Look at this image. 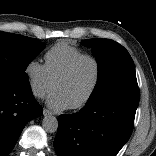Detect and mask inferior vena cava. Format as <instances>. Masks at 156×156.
<instances>
[{
    "mask_svg": "<svg viewBox=\"0 0 156 156\" xmlns=\"http://www.w3.org/2000/svg\"><path fill=\"white\" fill-rule=\"evenodd\" d=\"M35 94L38 95V96H40V95H42V92L35 91Z\"/></svg>",
    "mask_w": 156,
    "mask_h": 156,
    "instance_id": "inferior-vena-cava-1",
    "label": "inferior vena cava"
}]
</instances>
